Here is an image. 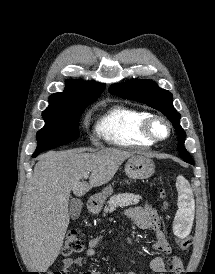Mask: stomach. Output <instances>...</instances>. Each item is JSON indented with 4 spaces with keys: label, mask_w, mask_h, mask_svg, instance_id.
I'll list each match as a JSON object with an SVG mask.
<instances>
[{
    "label": "stomach",
    "mask_w": 215,
    "mask_h": 274,
    "mask_svg": "<svg viewBox=\"0 0 215 274\" xmlns=\"http://www.w3.org/2000/svg\"><path fill=\"white\" fill-rule=\"evenodd\" d=\"M155 171L154 162L145 156L141 155H132L125 164V173L131 179H147ZM113 192L112 187L108 186L102 190L101 193L94 196L96 206L95 209L99 210L106 198L111 195Z\"/></svg>",
    "instance_id": "stomach-1"
}]
</instances>
